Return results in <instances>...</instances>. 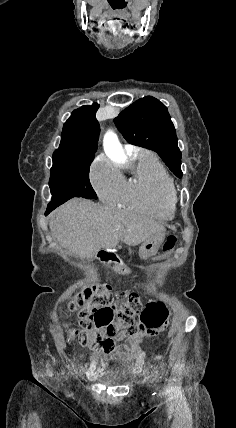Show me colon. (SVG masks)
<instances>
[{"mask_svg":"<svg viewBox=\"0 0 236 428\" xmlns=\"http://www.w3.org/2000/svg\"><path fill=\"white\" fill-rule=\"evenodd\" d=\"M175 243L176 238L168 236L163 250L171 251ZM74 307L78 327L69 329L68 337L93 351L113 352L117 348L116 336L122 328L131 336L161 330L168 324L169 313L163 305L151 302L142 310L138 292L114 294L111 286L105 283H92L78 289Z\"/></svg>","mask_w":236,"mask_h":428,"instance_id":"1","label":"colon"}]
</instances>
